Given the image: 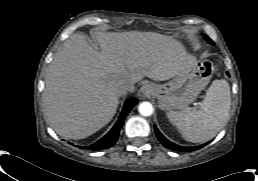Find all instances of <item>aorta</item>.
<instances>
[{
	"label": "aorta",
	"mask_w": 258,
	"mask_h": 181,
	"mask_svg": "<svg viewBox=\"0 0 258 181\" xmlns=\"http://www.w3.org/2000/svg\"><path fill=\"white\" fill-rule=\"evenodd\" d=\"M138 111L142 116H150L153 113V106L150 102L144 101L140 103Z\"/></svg>",
	"instance_id": "aorta-1"
}]
</instances>
